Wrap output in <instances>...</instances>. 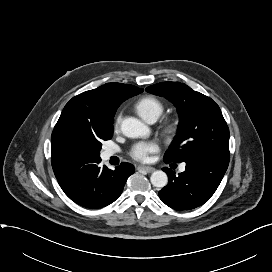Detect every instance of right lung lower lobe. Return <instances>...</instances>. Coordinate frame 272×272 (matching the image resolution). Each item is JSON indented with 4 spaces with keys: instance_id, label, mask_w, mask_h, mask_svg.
<instances>
[{
    "instance_id": "right-lung-lower-lobe-1",
    "label": "right lung lower lobe",
    "mask_w": 272,
    "mask_h": 272,
    "mask_svg": "<svg viewBox=\"0 0 272 272\" xmlns=\"http://www.w3.org/2000/svg\"><path fill=\"white\" fill-rule=\"evenodd\" d=\"M101 159L73 168L57 179L64 193L75 203L87 208H100L114 202L135 171L132 164L121 163L115 170L99 167Z\"/></svg>"
}]
</instances>
